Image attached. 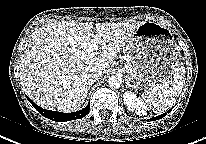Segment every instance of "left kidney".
I'll return each instance as SVG.
<instances>
[{"instance_id":"obj_1","label":"left kidney","mask_w":206,"mask_h":144,"mask_svg":"<svg viewBox=\"0 0 206 144\" xmlns=\"http://www.w3.org/2000/svg\"><path fill=\"white\" fill-rule=\"evenodd\" d=\"M124 104L126 108L131 111L135 112L139 116H144L147 114V106L144 101L138 98L133 92L127 91L123 94Z\"/></svg>"}]
</instances>
